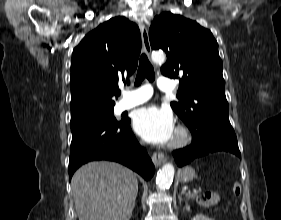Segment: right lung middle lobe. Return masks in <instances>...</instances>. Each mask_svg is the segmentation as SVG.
<instances>
[{
	"mask_svg": "<svg viewBox=\"0 0 281 220\" xmlns=\"http://www.w3.org/2000/svg\"><path fill=\"white\" fill-rule=\"evenodd\" d=\"M122 122H124V119H122L121 121L116 120V118L113 115V108H112L103 112L94 113L78 118H73L70 121V127L71 130L74 131L78 128L90 126V125H97V124L119 125Z\"/></svg>",
	"mask_w": 281,
	"mask_h": 220,
	"instance_id": "1",
	"label": "right lung middle lobe"
}]
</instances>
